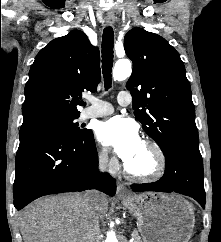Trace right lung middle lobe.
Listing matches in <instances>:
<instances>
[{
    "instance_id": "obj_1",
    "label": "right lung middle lobe",
    "mask_w": 221,
    "mask_h": 242,
    "mask_svg": "<svg viewBox=\"0 0 221 242\" xmlns=\"http://www.w3.org/2000/svg\"><path fill=\"white\" fill-rule=\"evenodd\" d=\"M79 117V114L53 118L48 120L38 121L26 126H21V130L30 129V128H51L61 131L70 136H82L87 133L89 130H81L79 124L74 120Z\"/></svg>"
}]
</instances>
